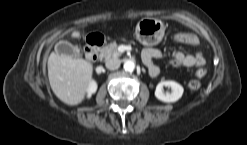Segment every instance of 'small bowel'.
Returning a JSON list of instances; mask_svg holds the SVG:
<instances>
[{"label":"small bowel","instance_id":"1","mask_svg":"<svg viewBox=\"0 0 247 145\" xmlns=\"http://www.w3.org/2000/svg\"><path fill=\"white\" fill-rule=\"evenodd\" d=\"M182 38L179 39V42H184L190 45H198L199 38L197 35L192 33H181ZM162 57L160 50L156 48H147L142 53V59L146 66L148 67L149 73L151 76H157L159 74L158 67L153 63L154 59H159ZM171 65L173 67H195L198 70L204 67L206 60L204 55L201 52H196L193 54H184L182 52L176 51L172 54ZM197 70V71H198Z\"/></svg>","mask_w":247,"mask_h":145}]
</instances>
